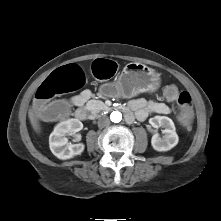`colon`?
Listing matches in <instances>:
<instances>
[{
    "instance_id": "colon-1",
    "label": "colon",
    "mask_w": 221,
    "mask_h": 221,
    "mask_svg": "<svg viewBox=\"0 0 221 221\" xmlns=\"http://www.w3.org/2000/svg\"><path fill=\"white\" fill-rule=\"evenodd\" d=\"M117 70V64L107 59H99L92 65L93 74L99 79H108L114 75ZM85 83V75L82 69L77 65H68L55 70L38 88L34 107L38 110V117L45 121L54 122L68 119L71 116L72 108L68 102L59 101L48 103L50 99L75 91L81 88ZM167 102L177 101L179 106L178 118L183 128L191 129L195 125L192 117V99L189 93H179L175 85H169L163 93Z\"/></svg>"
}]
</instances>
